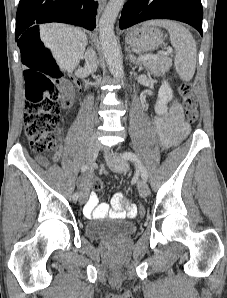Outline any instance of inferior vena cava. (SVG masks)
Instances as JSON below:
<instances>
[{"label": "inferior vena cava", "mask_w": 227, "mask_h": 298, "mask_svg": "<svg viewBox=\"0 0 227 298\" xmlns=\"http://www.w3.org/2000/svg\"><path fill=\"white\" fill-rule=\"evenodd\" d=\"M85 66L84 69L88 73H92L97 69V57L96 53L93 50H87L85 53Z\"/></svg>", "instance_id": "obj_1"}]
</instances>
